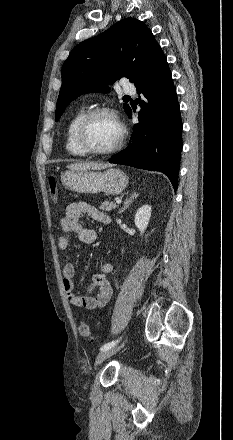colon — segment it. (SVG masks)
Listing matches in <instances>:
<instances>
[{
	"label": "colon",
	"instance_id": "obj_1",
	"mask_svg": "<svg viewBox=\"0 0 233 440\" xmlns=\"http://www.w3.org/2000/svg\"><path fill=\"white\" fill-rule=\"evenodd\" d=\"M49 195L52 201L58 202L59 195L57 190V183L55 176L49 178ZM80 335L90 341L93 340V336L90 331V327L86 322H82L79 327Z\"/></svg>",
	"mask_w": 233,
	"mask_h": 440
}]
</instances>
